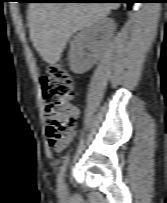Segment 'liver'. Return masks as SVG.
I'll list each match as a JSON object with an SVG mask.
<instances>
[{"label":"liver","mask_w":167,"mask_h":203,"mask_svg":"<svg viewBox=\"0 0 167 203\" xmlns=\"http://www.w3.org/2000/svg\"><path fill=\"white\" fill-rule=\"evenodd\" d=\"M119 3H31L30 38L42 59L54 65L69 38L105 18Z\"/></svg>","instance_id":"6515ba94"}]
</instances>
